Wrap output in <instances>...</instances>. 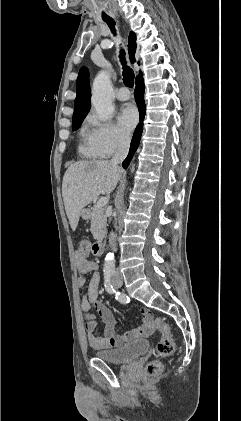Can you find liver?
Masks as SVG:
<instances>
[{"instance_id":"liver-1","label":"liver","mask_w":241,"mask_h":421,"mask_svg":"<svg viewBox=\"0 0 241 421\" xmlns=\"http://www.w3.org/2000/svg\"><path fill=\"white\" fill-rule=\"evenodd\" d=\"M123 170L107 160L79 161L66 170L62 196L71 229L76 230L81 211L100 194L109 195Z\"/></svg>"}]
</instances>
